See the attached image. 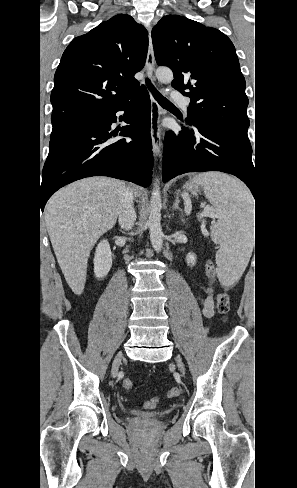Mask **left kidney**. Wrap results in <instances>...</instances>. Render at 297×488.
Returning a JSON list of instances; mask_svg holds the SVG:
<instances>
[{"mask_svg": "<svg viewBox=\"0 0 297 488\" xmlns=\"http://www.w3.org/2000/svg\"><path fill=\"white\" fill-rule=\"evenodd\" d=\"M196 260H197V257H196V255L194 253L189 252L186 255V262H187V265L188 266L193 267L196 264Z\"/></svg>", "mask_w": 297, "mask_h": 488, "instance_id": "left-kidney-1", "label": "left kidney"}]
</instances>
